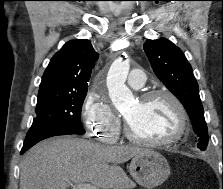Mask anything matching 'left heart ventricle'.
Returning <instances> with one entry per match:
<instances>
[{
    "label": "left heart ventricle",
    "mask_w": 223,
    "mask_h": 189,
    "mask_svg": "<svg viewBox=\"0 0 223 189\" xmlns=\"http://www.w3.org/2000/svg\"><path fill=\"white\" fill-rule=\"evenodd\" d=\"M135 134L160 139L173 136L179 127V115L166 97L147 102L136 101L124 114Z\"/></svg>",
    "instance_id": "1"
}]
</instances>
